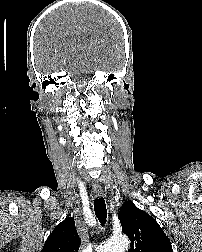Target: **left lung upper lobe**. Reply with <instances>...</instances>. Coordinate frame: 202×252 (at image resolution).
<instances>
[{
    "label": "left lung upper lobe",
    "mask_w": 202,
    "mask_h": 252,
    "mask_svg": "<svg viewBox=\"0 0 202 252\" xmlns=\"http://www.w3.org/2000/svg\"><path fill=\"white\" fill-rule=\"evenodd\" d=\"M122 231L131 240L128 252H173L171 242L153 217L130 200L119 211Z\"/></svg>",
    "instance_id": "1"
}]
</instances>
